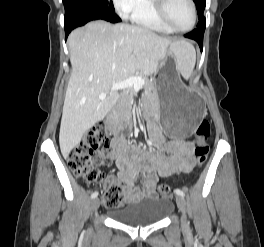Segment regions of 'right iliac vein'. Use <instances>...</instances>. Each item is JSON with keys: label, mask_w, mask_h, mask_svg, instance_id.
I'll return each instance as SVG.
<instances>
[{"label": "right iliac vein", "mask_w": 264, "mask_h": 247, "mask_svg": "<svg viewBox=\"0 0 264 247\" xmlns=\"http://www.w3.org/2000/svg\"><path fill=\"white\" fill-rule=\"evenodd\" d=\"M99 207V199H93L91 202V211L95 212Z\"/></svg>", "instance_id": "obj_1"}]
</instances>
